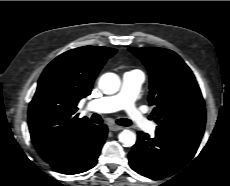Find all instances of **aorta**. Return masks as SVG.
Returning a JSON list of instances; mask_svg holds the SVG:
<instances>
[{"mask_svg":"<svg viewBox=\"0 0 230 186\" xmlns=\"http://www.w3.org/2000/svg\"><path fill=\"white\" fill-rule=\"evenodd\" d=\"M120 85V78L114 73H105L99 79V88L107 95L118 92ZM118 138L125 147H131L136 142V134L130 130H123Z\"/></svg>","mask_w":230,"mask_h":186,"instance_id":"1","label":"aorta"}]
</instances>
